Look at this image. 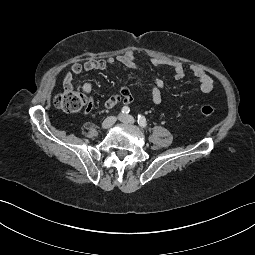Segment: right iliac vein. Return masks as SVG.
Masks as SVG:
<instances>
[{"instance_id": "obj_1", "label": "right iliac vein", "mask_w": 255, "mask_h": 255, "mask_svg": "<svg viewBox=\"0 0 255 255\" xmlns=\"http://www.w3.org/2000/svg\"><path fill=\"white\" fill-rule=\"evenodd\" d=\"M120 116H119V118H120ZM115 122H116V117H114V116L107 117L103 121L101 127H102V129H109L110 127H112L114 125Z\"/></svg>"}]
</instances>
